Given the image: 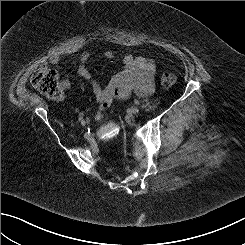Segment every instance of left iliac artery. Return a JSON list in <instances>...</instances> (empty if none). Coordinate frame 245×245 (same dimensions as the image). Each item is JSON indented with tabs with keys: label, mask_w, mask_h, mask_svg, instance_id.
<instances>
[{
	"label": "left iliac artery",
	"mask_w": 245,
	"mask_h": 245,
	"mask_svg": "<svg viewBox=\"0 0 245 245\" xmlns=\"http://www.w3.org/2000/svg\"><path fill=\"white\" fill-rule=\"evenodd\" d=\"M134 103L136 104V105H139L140 104V102L138 101V100H134Z\"/></svg>",
	"instance_id": "44dca946"
}]
</instances>
